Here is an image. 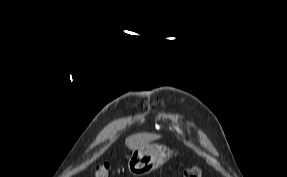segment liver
<instances>
[{"label": "liver", "instance_id": "liver-1", "mask_svg": "<svg viewBox=\"0 0 287 177\" xmlns=\"http://www.w3.org/2000/svg\"><path fill=\"white\" fill-rule=\"evenodd\" d=\"M159 137V135L149 133L134 134L126 138L125 144L129 149L134 150L158 139Z\"/></svg>", "mask_w": 287, "mask_h": 177}]
</instances>
